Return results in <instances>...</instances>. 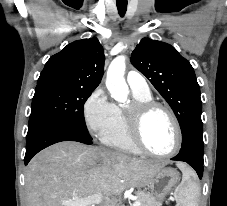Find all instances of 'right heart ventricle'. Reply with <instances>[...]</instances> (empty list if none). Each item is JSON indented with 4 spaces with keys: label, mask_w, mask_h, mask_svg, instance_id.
<instances>
[{
    "label": "right heart ventricle",
    "mask_w": 227,
    "mask_h": 206,
    "mask_svg": "<svg viewBox=\"0 0 227 206\" xmlns=\"http://www.w3.org/2000/svg\"><path fill=\"white\" fill-rule=\"evenodd\" d=\"M135 101H147L152 100L150 92L138 93L133 92ZM102 141L109 147L117 150L139 155L140 152L134 144L131 142L126 125V118L122 108L115 105V120L110 130L103 135Z\"/></svg>",
    "instance_id": "e07e8e85"
}]
</instances>
